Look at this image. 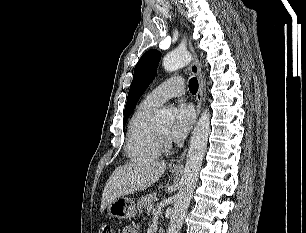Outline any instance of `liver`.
Segmentation results:
<instances>
[{
	"instance_id": "6515ba94",
	"label": "liver",
	"mask_w": 306,
	"mask_h": 233,
	"mask_svg": "<svg viewBox=\"0 0 306 233\" xmlns=\"http://www.w3.org/2000/svg\"><path fill=\"white\" fill-rule=\"evenodd\" d=\"M165 169L164 161L154 159H135L115 169L103 190L101 212L117 198L144 190L154 184Z\"/></svg>"
}]
</instances>
